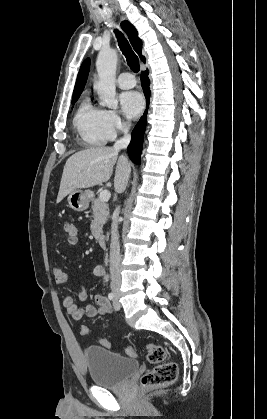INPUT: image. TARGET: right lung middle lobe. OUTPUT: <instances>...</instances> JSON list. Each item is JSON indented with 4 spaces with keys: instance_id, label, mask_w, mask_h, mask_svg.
Segmentation results:
<instances>
[{
    "instance_id": "dd1d6c3e",
    "label": "right lung middle lobe",
    "mask_w": 267,
    "mask_h": 419,
    "mask_svg": "<svg viewBox=\"0 0 267 419\" xmlns=\"http://www.w3.org/2000/svg\"><path fill=\"white\" fill-rule=\"evenodd\" d=\"M80 95L77 96H73L72 98V104H75V102L77 101V99L79 98Z\"/></svg>"
}]
</instances>
